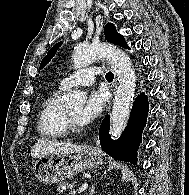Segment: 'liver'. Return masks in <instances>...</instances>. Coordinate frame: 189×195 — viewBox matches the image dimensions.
Segmentation results:
<instances>
[{"instance_id": "liver-1", "label": "liver", "mask_w": 189, "mask_h": 195, "mask_svg": "<svg viewBox=\"0 0 189 195\" xmlns=\"http://www.w3.org/2000/svg\"><path fill=\"white\" fill-rule=\"evenodd\" d=\"M85 147L55 140L39 139L31 148V156L40 158L50 153L73 154L81 152Z\"/></svg>"}]
</instances>
